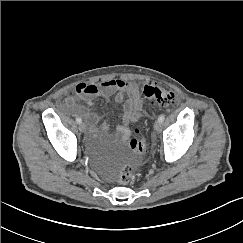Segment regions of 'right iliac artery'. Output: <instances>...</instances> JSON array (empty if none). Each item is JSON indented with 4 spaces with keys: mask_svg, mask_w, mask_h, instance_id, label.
<instances>
[{
    "mask_svg": "<svg viewBox=\"0 0 243 243\" xmlns=\"http://www.w3.org/2000/svg\"><path fill=\"white\" fill-rule=\"evenodd\" d=\"M76 122H77L78 124H80V123L82 122L81 118H80V117H77V118H76Z\"/></svg>",
    "mask_w": 243,
    "mask_h": 243,
    "instance_id": "obj_1",
    "label": "right iliac artery"
}]
</instances>
